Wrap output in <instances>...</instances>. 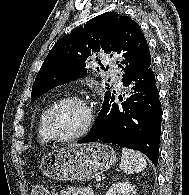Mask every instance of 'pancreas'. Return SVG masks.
Instances as JSON below:
<instances>
[{
	"mask_svg": "<svg viewBox=\"0 0 189 195\" xmlns=\"http://www.w3.org/2000/svg\"><path fill=\"white\" fill-rule=\"evenodd\" d=\"M96 187H100V185L98 184V185H96Z\"/></svg>",
	"mask_w": 189,
	"mask_h": 195,
	"instance_id": "pancreas-1",
	"label": "pancreas"
}]
</instances>
